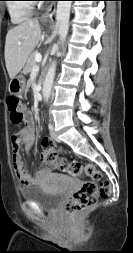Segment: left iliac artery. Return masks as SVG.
<instances>
[{
	"instance_id": "44dca946",
	"label": "left iliac artery",
	"mask_w": 133,
	"mask_h": 253,
	"mask_svg": "<svg viewBox=\"0 0 133 253\" xmlns=\"http://www.w3.org/2000/svg\"><path fill=\"white\" fill-rule=\"evenodd\" d=\"M49 129L51 130L53 128V125L51 123L48 124Z\"/></svg>"
}]
</instances>
